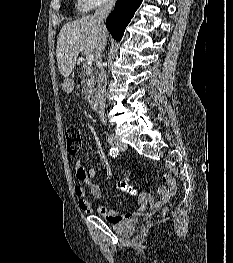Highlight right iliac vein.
I'll return each mask as SVG.
<instances>
[{"instance_id": "obj_1", "label": "right iliac vein", "mask_w": 233, "mask_h": 263, "mask_svg": "<svg viewBox=\"0 0 233 263\" xmlns=\"http://www.w3.org/2000/svg\"><path fill=\"white\" fill-rule=\"evenodd\" d=\"M108 141L110 143V145L120 149V150H125L127 149V145L123 142H121L119 139H117L116 137L114 136H110L108 138Z\"/></svg>"}]
</instances>
